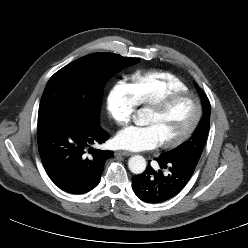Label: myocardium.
<instances>
[{
  "label": "myocardium",
  "instance_id": "obj_1",
  "mask_svg": "<svg viewBox=\"0 0 248 248\" xmlns=\"http://www.w3.org/2000/svg\"><path fill=\"white\" fill-rule=\"evenodd\" d=\"M182 98L193 99V101L195 103V107H196L194 117L192 119V122L188 126V128L180 136H178L177 138L172 139V140L161 142L160 146L163 148L177 147L191 137V135L196 130V128H197V126L201 120V117H202V113H203L202 102H201L200 98L192 92L177 91V92H172V93L164 95L163 97H161L160 99H158L157 101H155L154 103H152L148 106L150 110H153L156 112H164L175 101L182 99Z\"/></svg>",
  "mask_w": 248,
  "mask_h": 248
}]
</instances>
